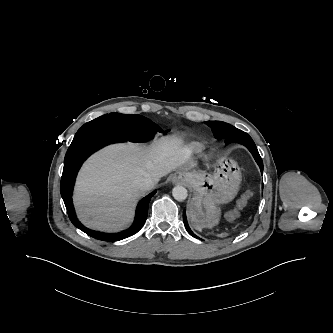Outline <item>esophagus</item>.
<instances>
[{
    "label": "esophagus",
    "mask_w": 333,
    "mask_h": 333,
    "mask_svg": "<svg viewBox=\"0 0 333 333\" xmlns=\"http://www.w3.org/2000/svg\"><path fill=\"white\" fill-rule=\"evenodd\" d=\"M182 180V176L178 175L174 177V181H181Z\"/></svg>",
    "instance_id": "obj_1"
}]
</instances>
